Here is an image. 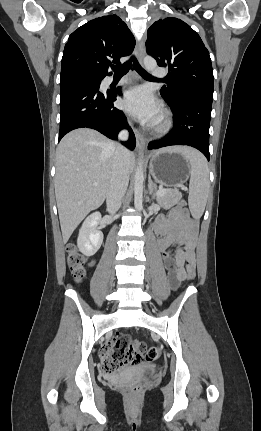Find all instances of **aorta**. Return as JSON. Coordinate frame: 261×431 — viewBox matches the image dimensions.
Masks as SVG:
<instances>
[{"mask_svg":"<svg viewBox=\"0 0 261 431\" xmlns=\"http://www.w3.org/2000/svg\"><path fill=\"white\" fill-rule=\"evenodd\" d=\"M144 66L147 71H153L156 66V60L152 57H145ZM143 183H144V172L142 167L141 159L138 162L137 169L135 171L134 179V205L137 210H142L143 208Z\"/></svg>","mask_w":261,"mask_h":431,"instance_id":"obj_1","label":"aorta"}]
</instances>
